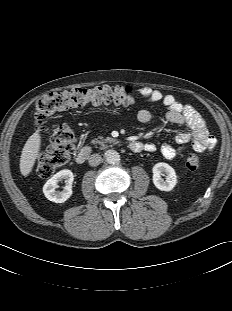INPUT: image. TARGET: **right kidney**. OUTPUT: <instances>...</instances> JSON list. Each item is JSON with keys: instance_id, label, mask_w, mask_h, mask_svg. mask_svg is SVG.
Here are the masks:
<instances>
[{"instance_id": "right-kidney-1", "label": "right kidney", "mask_w": 232, "mask_h": 311, "mask_svg": "<svg viewBox=\"0 0 232 311\" xmlns=\"http://www.w3.org/2000/svg\"><path fill=\"white\" fill-rule=\"evenodd\" d=\"M65 180L66 186L62 191H56L58 183ZM74 175L71 170L64 169L53 175L43 186L45 197L55 203H63L72 195Z\"/></svg>"}]
</instances>
